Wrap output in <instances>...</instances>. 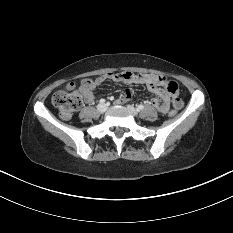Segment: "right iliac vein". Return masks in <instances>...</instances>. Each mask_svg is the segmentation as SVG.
I'll list each match as a JSON object with an SVG mask.
<instances>
[{"mask_svg":"<svg viewBox=\"0 0 233 233\" xmlns=\"http://www.w3.org/2000/svg\"><path fill=\"white\" fill-rule=\"evenodd\" d=\"M97 110L100 112V113H104L106 110H107V105L106 104H99L97 106Z\"/></svg>","mask_w":233,"mask_h":233,"instance_id":"63e3f726","label":"right iliac vein"}]
</instances>
